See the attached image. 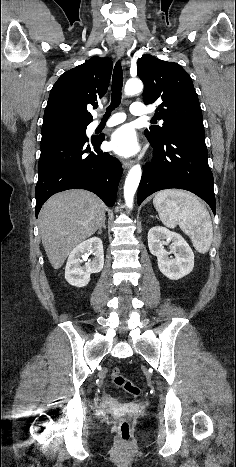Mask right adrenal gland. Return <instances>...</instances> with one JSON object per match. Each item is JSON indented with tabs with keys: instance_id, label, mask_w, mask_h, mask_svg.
Segmentation results:
<instances>
[{
	"instance_id": "1",
	"label": "right adrenal gland",
	"mask_w": 236,
	"mask_h": 467,
	"mask_svg": "<svg viewBox=\"0 0 236 467\" xmlns=\"http://www.w3.org/2000/svg\"><path fill=\"white\" fill-rule=\"evenodd\" d=\"M105 221H106V219L103 220L102 225L99 227V229H98V234H101V233H102V228H103V229H106Z\"/></svg>"
}]
</instances>
